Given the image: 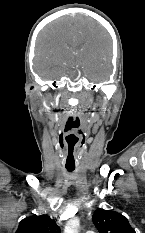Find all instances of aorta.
Listing matches in <instances>:
<instances>
[{
	"instance_id": "1",
	"label": "aorta",
	"mask_w": 145,
	"mask_h": 233,
	"mask_svg": "<svg viewBox=\"0 0 145 233\" xmlns=\"http://www.w3.org/2000/svg\"><path fill=\"white\" fill-rule=\"evenodd\" d=\"M79 219L78 218H72L70 219L65 226L64 233H79Z\"/></svg>"
}]
</instances>
